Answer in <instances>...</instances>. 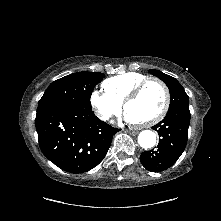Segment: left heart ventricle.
Instances as JSON below:
<instances>
[{"label": "left heart ventricle", "instance_id": "left-heart-ventricle-1", "mask_svg": "<svg viewBox=\"0 0 221 221\" xmlns=\"http://www.w3.org/2000/svg\"><path fill=\"white\" fill-rule=\"evenodd\" d=\"M164 95L156 83L148 84L139 97L127 105L126 112L133 122H143L154 117L162 108Z\"/></svg>", "mask_w": 221, "mask_h": 221}]
</instances>
